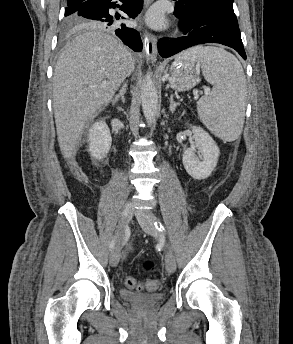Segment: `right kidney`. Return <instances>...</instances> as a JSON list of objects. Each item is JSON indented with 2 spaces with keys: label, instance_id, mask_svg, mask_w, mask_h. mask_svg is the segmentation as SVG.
<instances>
[{
  "label": "right kidney",
  "instance_id": "obj_1",
  "mask_svg": "<svg viewBox=\"0 0 293 344\" xmlns=\"http://www.w3.org/2000/svg\"><path fill=\"white\" fill-rule=\"evenodd\" d=\"M88 143L90 156L95 160H102L108 154L112 137L106 122L102 119L95 122L89 129Z\"/></svg>",
  "mask_w": 293,
  "mask_h": 344
}]
</instances>
